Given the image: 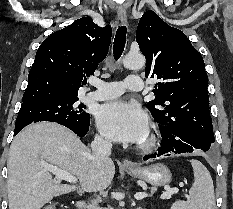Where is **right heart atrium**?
I'll return each instance as SVG.
<instances>
[{"mask_svg":"<svg viewBox=\"0 0 233 209\" xmlns=\"http://www.w3.org/2000/svg\"><path fill=\"white\" fill-rule=\"evenodd\" d=\"M96 140H97L98 143L108 144V141L102 136H97Z\"/></svg>","mask_w":233,"mask_h":209,"instance_id":"obj_1","label":"right heart atrium"}]
</instances>
